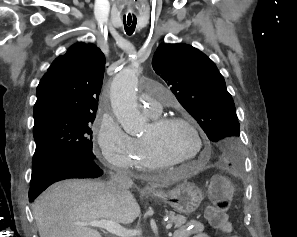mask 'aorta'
I'll return each mask as SVG.
<instances>
[{
    "label": "aorta",
    "instance_id": "aorta-1",
    "mask_svg": "<svg viewBox=\"0 0 297 237\" xmlns=\"http://www.w3.org/2000/svg\"><path fill=\"white\" fill-rule=\"evenodd\" d=\"M140 67L133 65L118 73L111 85V104L113 112L122 128L129 135H137L144 129L146 119L139 112L136 87Z\"/></svg>",
    "mask_w": 297,
    "mask_h": 237
}]
</instances>
